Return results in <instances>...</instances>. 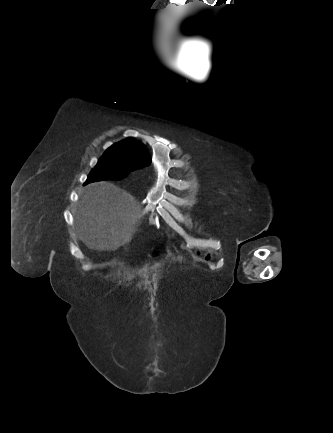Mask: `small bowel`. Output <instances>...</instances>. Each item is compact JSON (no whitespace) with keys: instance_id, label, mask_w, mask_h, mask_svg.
Wrapping results in <instances>:
<instances>
[{"instance_id":"1","label":"small bowel","mask_w":333,"mask_h":433,"mask_svg":"<svg viewBox=\"0 0 333 433\" xmlns=\"http://www.w3.org/2000/svg\"><path fill=\"white\" fill-rule=\"evenodd\" d=\"M201 254H202V251L199 249L195 252V255H197V256H200ZM206 260H210V255H208V257H206Z\"/></svg>"}]
</instances>
